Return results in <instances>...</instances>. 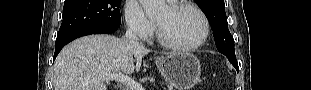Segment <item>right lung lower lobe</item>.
<instances>
[{
	"instance_id": "right-lung-lower-lobe-1",
	"label": "right lung lower lobe",
	"mask_w": 311,
	"mask_h": 90,
	"mask_svg": "<svg viewBox=\"0 0 311 90\" xmlns=\"http://www.w3.org/2000/svg\"><path fill=\"white\" fill-rule=\"evenodd\" d=\"M118 29V27H86L82 28L76 31H73L71 33H68L66 35L57 37L56 40V46H55V53H54V60L60 50L69 43L70 41L79 38L81 36L90 35V34H110L115 32Z\"/></svg>"
}]
</instances>
